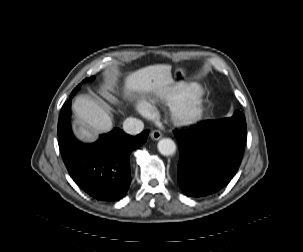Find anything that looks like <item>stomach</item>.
Listing matches in <instances>:
<instances>
[{"instance_id":"1","label":"stomach","mask_w":303,"mask_h":252,"mask_svg":"<svg viewBox=\"0 0 303 252\" xmlns=\"http://www.w3.org/2000/svg\"><path fill=\"white\" fill-rule=\"evenodd\" d=\"M172 78L175 83L186 81L188 78V70L183 67L176 68L172 74Z\"/></svg>"}]
</instances>
